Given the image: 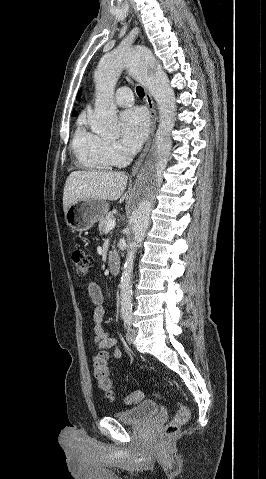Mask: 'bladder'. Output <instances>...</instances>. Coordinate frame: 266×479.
Wrapping results in <instances>:
<instances>
[{"instance_id": "1", "label": "bladder", "mask_w": 266, "mask_h": 479, "mask_svg": "<svg viewBox=\"0 0 266 479\" xmlns=\"http://www.w3.org/2000/svg\"><path fill=\"white\" fill-rule=\"evenodd\" d=\"M159 406L156 402L146 400L138 405L113 413V417L122 423L127 424H143L158 414Z\"/></svg>"}]
</instances>
